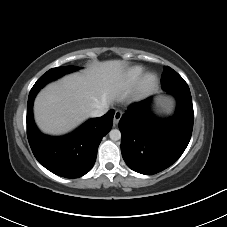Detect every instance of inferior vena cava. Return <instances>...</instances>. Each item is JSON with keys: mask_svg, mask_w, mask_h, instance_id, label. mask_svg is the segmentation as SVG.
I'll return each mask as SVG.
<instances>
[{"mask_svg": "<svg viewBox=\"0 0 227 227\" xmlns=\"http://www.w3.org/2000/svg\"><path fill=\"white\" fill-rule=\"evenodd\" d=\"M109 106L107 104H103L102 106L98 107L97 109L93 110L90 113V117H100L104 115L108 111Z\"/></svg>", "mask_w": 227, "mask_h": 227, "instance_id": "inferior-vena-cava-1", "label": "inferior vena cava"}]
</instances>
